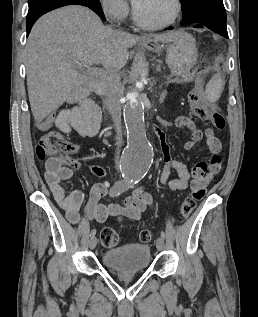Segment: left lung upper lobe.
<instances>
[{
  "label": "left lung upper lobe",
  "instance_id": "obj_1",
  "mask_svg": "<svg viewBox=\"0 0 258 317\" xmlns=\"http://www.w3.org/2000/svg\"><path fill=\"white\" fill-rule=\"evenodd\" d=\"M183 10V25H189L195 20L209 12H213L224 23H226V11L223 0H180Z\"/></svg>",
  "mask_w": 258,
  "mask_h": 317
}]
</instances>
